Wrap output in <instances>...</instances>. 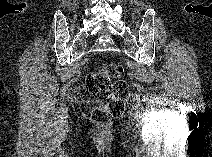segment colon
<instances>
[{
    "label": "colon",
    "mask_w": 212,
    "mask_h": 157,
    "mask_svg": "<svg viewBox=\"0 0 212 157\" xmlns=\"http://www.w3.org/2000/svg\"><path fill=\"white\" fill-rule=\"evenodd\" d=\"M121 71L119 65L109 63L87 76L88 92L97 99L106 101L103 106L92 111V119L99 125H106L111 118L119 117L124 112L129 87L126 81L117 79Z\"/></svg>",
    "instance_id": "5ec220e1"
}]
</instances>
